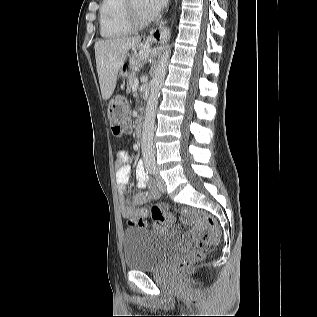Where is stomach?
Returning a JSON list of instances; mask_svg holds the SVG:
<instances>
[{"mask_svg":"<svg viewBox=\"0 0 317 317\" xmlns=\"http://www.w3.org/2000/svg\"><path fill=\"white\" fill-rule=\"evenodd\" d=\"M124 65L115 72L114 90L121 93L126 92L129 86L132 72L137 71V66H141L142 55H124Z\"/></svg>","mask_w":317,"mask_h":317,"instance_id":"stomach-1","label":"stomach"}]
</instances>
